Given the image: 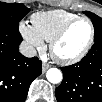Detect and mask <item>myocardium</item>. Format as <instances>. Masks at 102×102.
Returning <instances> with one entry per match:
<instances>
[{
	"label": "myocardium",
	"instance_id": "myocardium-1",
	"mask_svg": "<svg viewBox=\"0 0 102 102\" xmlns=\"http://www.w3.org/2000/svg\"><path fill=\"white\" fill-rule=\"evenodd\" d=\"M78 22H86L89 27L90 34H89V38L87 40L86 45L74 57H71V58L60 57L56 53L57 45L66 36V34L69 32V30ZM93 41H94V30H93L91 21L85 17H77L74 20H72L71 22H69L67 25H65L55 36H53V38L51 39L50 44H49V50H50L52 57L58 63L63 64V65H72V64L79 62L88 53V51L90 50V48L93 44Z\"/></svg>",
	"mask_w": 102,
	"mask_h": 102
}]
</instances>
